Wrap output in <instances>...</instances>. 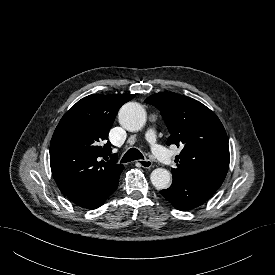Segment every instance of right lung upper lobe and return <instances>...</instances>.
Returning <instances> with one entry per match:
<instances>
[{"label": "right lung upper lobe", "instance_id": "1", "mask_svg": "<svg viewBox=\"0 0 275 275\" xmlns=\"http://www.w3.org/2000/svg\"><path fill=\"white\" fill-rule=\"evenodd\" d=\"M133 94H93L71 107L56 127L50 144V165L63 195L108 183L123 169L111 155L108 132L120 107ZM102 143H106L101 146ZM105 162L101 160L103 157Z\"/></svg>", "mask_w": 275, "mask_h": 275}]
</instances>
